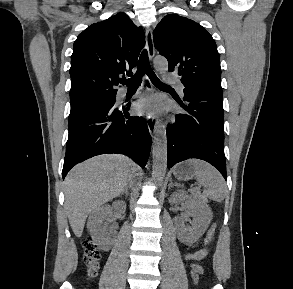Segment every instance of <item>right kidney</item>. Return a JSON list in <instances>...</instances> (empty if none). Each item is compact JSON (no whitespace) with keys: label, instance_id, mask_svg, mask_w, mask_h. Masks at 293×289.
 <instances>
[{"label":"right kidney","instance_id":"right-kidney-1","mask_svg":"<svg viewBox=\"0 0 293 289\" xmlns=\"http://www.w3.org/2000/svg\"><path fill=\"white\" fill-rule=\"evenodd\" d=\"M126 207L124 202L116 201L112 207L104 205L96 208L89 216L87 227L90 230L93 240L101 246H107L110 239V231L103 224L104 220L112 215V210L122 211Z\"/></svg>","mask_w":293,"mask_h":289}]
</instances>
